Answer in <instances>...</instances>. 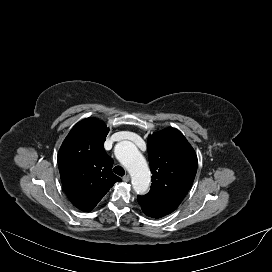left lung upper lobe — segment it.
Wrapping results in <instances>:
<instances>
[{
  "label": "left lung upper lobe",
  "mask_w": 272,
  "mask_h": 272,
  "mask_svg": "<svg viewBox=\"0 0 272 272\" xmlns=\"http://www.w3.org/2000/svg\"><path fill=\"white\" fill-rule=\"evenodd\" d=\"M148 157L151 190L138 196V202L147 216L158 219L172 213L188 193L197 172V156L179 130L168 128L148 138Z\"/></svg>",
  "instance_id": "obj_1"
}]
</instances>
